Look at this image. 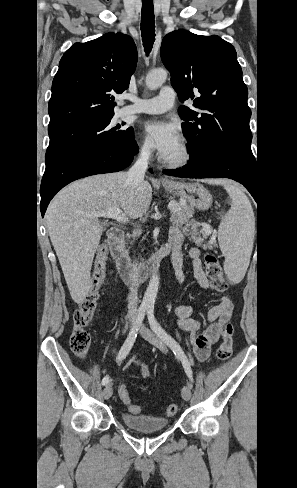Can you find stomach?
<instances>
[{
  "mask_svg": "<svg viewBox=\"0 0 297 488\" xmlns=\"http://www.w3.org/2000/svg\"><path fill=\"white\" fill-rule=\"evenodd\" d=\"M163 186L167 192L180 197L198 210H207L212 205V195L200 183L169 182Z\"/></svg>",
  "mask_w": 297,
  "mask_h": 488,
  "instance_id": "obj_1",
  "label": "stomach"
}]
</instances>
